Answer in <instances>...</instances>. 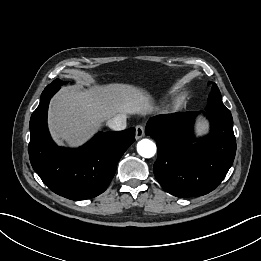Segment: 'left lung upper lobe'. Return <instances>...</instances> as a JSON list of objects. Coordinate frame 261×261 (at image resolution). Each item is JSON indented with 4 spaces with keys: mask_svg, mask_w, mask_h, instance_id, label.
<instances>
[{
    "mask_svg": "<svg viewBox=\"0 0 261 261\" xmlns=\"http://www.w3.org/2000/svg\"><path fill=\"white\" fill-rule=\"evenodd\" d=\"M211 83V82H210ZM207 111L221 114H231L222 102L221 93L215 83H212L211 93L209 94Z\"/></svg>",
    "mask_w": 261,
    "mask_h": 261,
    "instance_id": "obj_1",
    "label": "left lung upper lobe"
}]
</instances>
